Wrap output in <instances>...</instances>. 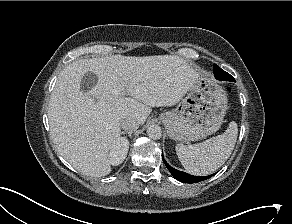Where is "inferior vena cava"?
<instances>
[{
    "label": "inferior vena cava",
    "mask_w": 292,
    "mask_h": 224,
    "mask_svg": "<svg viewBox=\"0 0 292 224\" xmlns=\"http://www.w3.org/2000/svg\"><path fill=\"white\" fill-rule=\"evenodd\" d=\"M119 125L125 131H127V132H133V131H135L138 128L139 123L134 118H131V117H122L119 120Z\"/></svg>",
    "instance_id": "1"
}]
</instances>
